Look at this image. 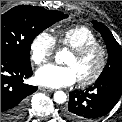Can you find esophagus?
Wrapping results in <instances>:
<instances>
[{
	"mask_svg": "<svg viewBox=\"0 0 122 122\" xmlns=\"http://www.w3.org/2000/svg\"><path fill=\"white\" fill-rule=\"evenodd\" d=\"M41 90L42 91H47V92H54L55 91L54 89L47 88V87H41Z\"/></svg>",
	"mask_w": 122,
	"mask_h": 122,
	"instance_id": "obj_1",
	"label": "esophagus"
}]
</instances>
